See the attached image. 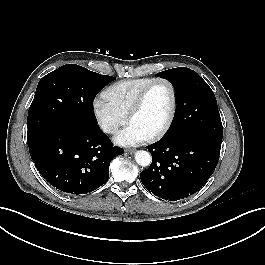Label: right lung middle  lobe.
Instances as JSON below:
<instances>
[{
    "instance_id": "dd1d6c3e",
    "label": "right lung middle lobe",
    "mask_w": 265,
    "mask_h": 265,
    "mask_svg": "<svg viewBox=\"0 0 265 265\" xmlns=\"http://www.w3.org/2000/svg\"><path fill=\"white\" fill-rule=\"evenodd\" d=\"M114 79L76 64L63 65L44 76L28 111V137L71 125L97 126L93 101Z\"/></svg>"
}]
</instances>
